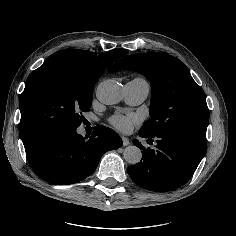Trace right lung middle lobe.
Returning <instances> with one entry per match:
<instances>
[{"label": "right lung middle lobe", "instance_id": "1", "mask_svg": "<svg viewBox=\"0 0 236 236\" xmlns=\"http://www.w3.org/2000/svg\"><path fill=\"white\" fill-rule=\"evenodd\" d=\"M99 76L64 59L44 62L34 70L20 98L19 132L25 149L52 132L79 127Z\"/></svg>", "mask_w": 236, "mask_h": 236}]
</instances>
